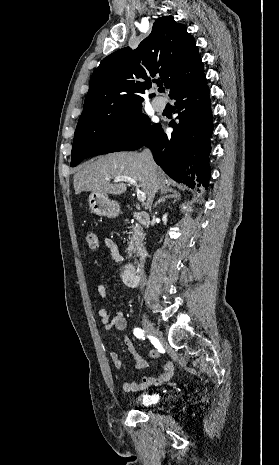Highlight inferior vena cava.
I'll return each mask as SVG.
<instances>
[{"label":"inferior vena cava","mask_w":279,"mask_h":465,"mask_svg":"<svg viewBox=\"0 0 279 465\" xmlns=\"http://www.w3.org/2000/svg\"><path fill=\"white\" fill-rule=\"evenodd\" d=\"M142 156L145 159V161H146L148 167L150 168V170L153 171L155 162L153 160L152 152L149 149H144L143 152H142ZM152 179H153V181H152V183H153V193H152V196H151V201L153 200L156 189H157V183H156L154 173L152 175Z\"/></svg>","instance_id":"602c4592"}]
</instances>
